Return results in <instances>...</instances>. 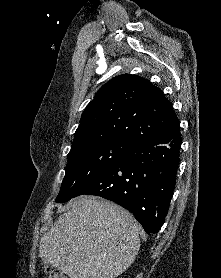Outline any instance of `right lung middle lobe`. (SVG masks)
<instances>
[{"label":"right lung middle lobe","mask_w":221,"mask_h":278,"mask_svg":"<svg viewBox=\"0 0 221 278\" xmlns=\"http://www.w3.org/2000/svg\"><path fill=\"white\" fill-rule=\"evenodd\" d=\"M131 144L126 140H92L72 148L55 201L61 203L75 197L78 190L118 162Z\"/></svg>","instance_id":"right-lung-middle-lobe-1"}]
</instances>
